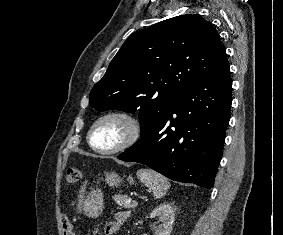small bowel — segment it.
Wrapping results in <instances>:
<instances>
[{"instance_id": "c3829d8e", "label": "small bowel", "mask_w": 283, "mask_h": 235, "mask_svg": "<svg viewBox=\"0 0 283 235\" xmlns=\"http://www.w3.org/2000/svg\"><path fill=\"white\" fill-rule=\"evenodd\" d=\"M129 218V213L128 212H118L114 215L113 220L109 221L108 223L105 224L104 226V233L105 235H115L121 226L127 221ZM63 227L69 228L71 230V223L65 219L63 222ZM71 235H75L73 232Z\"/></svg>"}]
</instances>
